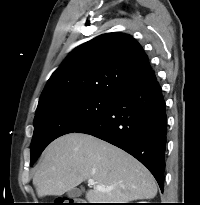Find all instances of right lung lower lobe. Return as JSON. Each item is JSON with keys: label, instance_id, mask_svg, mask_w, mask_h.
Returning <instances> with one entry per match:
<instances>
[{"label": "right lung lower lobe", "instance_id": "right-lung-lower-lobe-1", "mask_svg": "<svg viewBox=\"0 0 200 205\" xmlns=\"http://www.w3.org/2000/svg\"><path fill=\"white\" fill-rule=\"evenodd\" d=\"M165 101L154 71L115 98L99 119L77 130L107 141L144 164L164 187L167 118Z\"/></svg>", "mask_w": 200, "mask_h": 205}]
</instances>
